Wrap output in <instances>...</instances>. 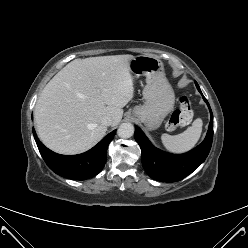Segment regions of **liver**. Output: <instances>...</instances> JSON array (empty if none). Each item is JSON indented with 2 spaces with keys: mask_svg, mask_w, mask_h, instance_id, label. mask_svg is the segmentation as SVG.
<instances>
[{
  "mask_svg": "<svg viewBox=\"0 0 248 248\" xmlns=\"http://www.w3.org/2000/svg\"><path fill=\"white\" fill-rule=\"evenodd\" d=\"M132 55L75 59L45 86L35 105L40 140L61 154H78L105 135L102 119L113 126L122 119L123 107L134 96L129 69Z\"/></svg>",
  "mask_w": 248,
  "mask_h": 248,
  "instance_id": "6515ba94",
  "label": "liver"
}]
</instances>
